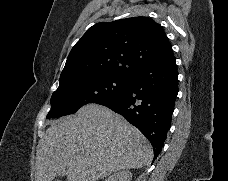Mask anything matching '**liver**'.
Listing matches in <instances>:
<instances>
[{
  "label": "liver",
  "mask_w": 228,
  "mask_h": 181,
  "mask_svg": "<svg viewBox=\"0 0 228 181\" xmlns=\"http://www.w3.org/2000/svg\"><path fill=\"white\" fill-rule=\"evenodd\" d=\"M37 151L35 181H100L122 169H141L153 155L146 137L102 105H84L75 115L49 123Z\"/></svg>",
  "instance_id": "obj_1"
}]
</instances>
